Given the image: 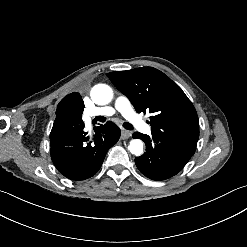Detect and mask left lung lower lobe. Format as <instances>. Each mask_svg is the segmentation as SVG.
Listing matches in <instances>:
<instances>
[{"instance_id":"left-lung-lower-lobe-1","label":"left lung lower lobe","mask_w":247,"mask_h":247,"mask_svg":"<svg viewBox=\"0 0 247 247\" xmlns=\"http://www.w3.org/2000/svg\"><path fill=\"white\" fill-rule=\"evenodd\" d=\"M132 136L146 144V152L135 158V164L143 175L152 180H165L176 175L192 157L175 146L160 142L154 136L150 138L139 132L133 133Z\"/></svg>"}]
</instances>
